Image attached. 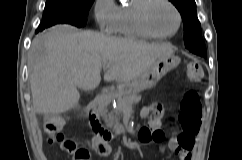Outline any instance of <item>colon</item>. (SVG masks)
Wrapping results in <instances>:
<instances>
[{
  "label": "colon",
  "instance_id": "obj_1",
  "mask_svg": "<svg viewBox=\"0 0 242 160\" xmlns=\"http://www.w3.org/2000/svg\"><path fill=\"white\" fill-rule=\"evenodd\" d=\"M186 76L189 80L199 82L203 77L202 66L198 62H191L187 65ZM160 113L153 114L154 118H159ZM201 118V103L198 98V93L194 90L185 92L181 101V110L178 120L182 127V134L194 135L197 134L200 128ZM65 119L60 116H47L43 122V130L47 135V141L51 145H58L66 151L70 148L68 141L62 134V129L65 125ZM179 135V139L183 138ZM141 136L146 140L160 142L164 133L160 129L150 131L145 129L141 132ZM98 154L106 156L110 153V147L103 141H98L94 145ZM74 160H91L90 154L84 150H78L75 153Z\"/></svg>",
  "mask_w": 242,
  "mask_h": 160
}]
</instances>
